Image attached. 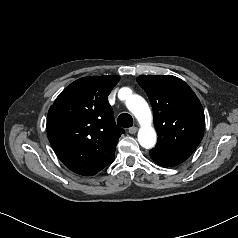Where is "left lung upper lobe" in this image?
<instances>
[{
    "instance_id": "1",
    "label": "left lung upper lobe",
    "mask_w": 238,
    "mask_h": 238,
    "mask_svg": "<svg viewBox=\"0 0 238 238\" xmlns=\"http://www.w3.org/2000/svg\"><path fill=\"white\" fill-rule=\"evenodd\" d=\"M147 93L158 134L157 149L189 157L201 142L205 128L202 105L193 90L172 75L139 76Z\"/></svg>"
}]
</instances>
